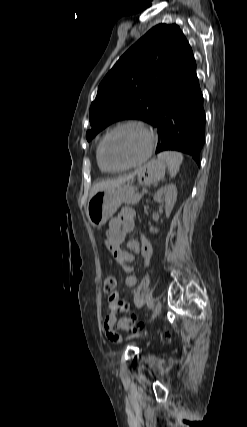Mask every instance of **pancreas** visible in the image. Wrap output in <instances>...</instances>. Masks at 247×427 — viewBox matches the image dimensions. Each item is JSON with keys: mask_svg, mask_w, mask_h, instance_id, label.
Here are the masks:
<instances>
[{"mask_svg": "<svg viewBox=\"0 0 247 427\" xmlns=\"http://www.w3.org/2000/svg\"><path fill=\"white\" fill-rule=\"evenodd\" d=\"M143 194L141 193H136L134 194L130 199L126 200L125 202L127 204H132V205H136L140 199L142 198Z\"/></svg>", "mask_w": 247, "mask_h": 427, "instance_id": "pancreas-1", "label": "pancreas"}]
</instances>
